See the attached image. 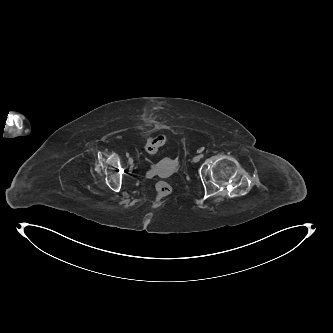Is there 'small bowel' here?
Listing matches in <instances>:
<instances>
[{
	"label": "small bowel",
	"mask_w": 333,
	"mask_h": 333,
	"mask_svg": "<svg viewBox=\"0 0 333 333\" xmlns=\"http://www.w3.org/2000/svg\"><path fill=\"white\" fill-rule=\"evenodd\" d=\"M156 174H158V172H157V167L154 166V167L148 172V176H149V177H152V176H155Z\"/></svg>",
	"instance_id": "c3829d8e"
}]
</instances>
